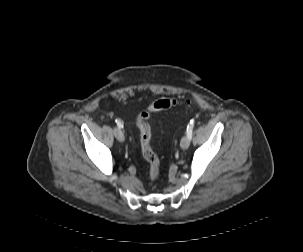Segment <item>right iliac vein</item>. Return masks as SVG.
<instances>
[{
	"label": "right iliac vein",
	"instance_id": "right-iliac-vein-1",
	"mask_svg": "<svg viewBox=\"0 0 303 252\" xmlns=\"http://www.w3.org/2000/svg\"><path fill=\"white\" fill-rule=\"evenodd\" d=\"M113 133H114V136L116 137L117 140H119L121 142L124 141V134L119 128H117V127L114 128Z\"/></svg>",
	"mask_w": 303,
	"mask_h": 252
}]
</instances>
